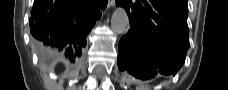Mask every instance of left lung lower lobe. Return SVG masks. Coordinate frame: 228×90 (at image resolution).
Returning <instances> with one entry per match:
<instances>
[{
	"label": "left lung lower lobe",
	"instance_id": "left-lung-lower-lobe-1",
	"mask_svg": "<svg viewBox=\"0 0 228 90\" xmlns=\"http://www.w3.org/2000/svg\"><path fill=\"white\" fill-rule=\"evenodd\" d=\"M187 0H118L131 29L120 40L118 67L137 78L175 75L185 62L189 44ZM188 6V4H187Z\"/></svg>",
	"mask_w": 228,
	"mask_h": 90
}]
</instances>
